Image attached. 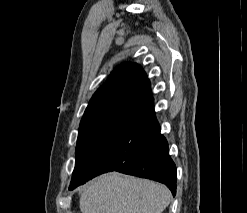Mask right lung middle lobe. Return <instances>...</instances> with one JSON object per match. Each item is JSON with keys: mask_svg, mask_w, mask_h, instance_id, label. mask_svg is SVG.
I'll use <instances>...</instances> for the list:
<instances>
[{"mask_svg": "<svg viewBox=\"0 0 247 213\" xmlns=\"http://www.w3.org/2000/svg\"><path fill=\"white\" fill-rule=\"evenodd\" d=\"M131 108H114L80 125L70 190L95 177L99 159L115 142Z\"/></svg>", "mask_w": 247, "mask_h": 213, "instance_id": "right-lung-middle-lobe-1", "label": "right lung middle lobe"}]
</instances>
